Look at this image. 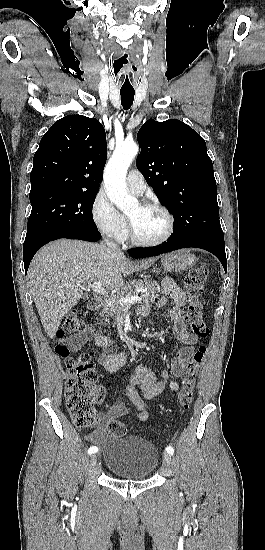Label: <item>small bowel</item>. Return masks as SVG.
Wrapping results in <instances>:
<instances>
[{"label":"small bowel","mask_w":265,"mask_h":550,"mask_svg":"<svg viewBox=\"0 0 265 550\" xmlns=\"http://www.w3.org/2000/svg\"><path fill=\"white\" fill-rule=\"evenodd\" d=\"M162 290L164 296L158 301L156 306L152 308L147 304L142 305L138 309V314L142 317L149 316L152 311L163 308L171 301L170 318L174 322L176 338L182 343V346L171 358L170 369H161L159 372H155L147 363H140L130 375L128 396L136 408L137 419L141 422L147 421L149 414L143 398L136 392L135 387H139L142 390L145 398H155L167 387L171 391H178L179 382L171 378V375L176 378L183 376L186 363L194 353L195 344L198 341V336L190 332L184 322L183 307L186 303V296L183 290L170 278L164 279ZM91 340L103 349L102 354L98 357L99 364L104 366L108 371H116L123 365L126 353L115 351L111 340L92 326L81 334L65 339L64 342L73 350H78ZM126 412L127 409L122 404L111 407L99 417L97 429L88 434L89 441L95 444L103 443L106 438L107 424L125 415Z\"/></svg>","instance_id":"c3829d8e"}]
</instances>
